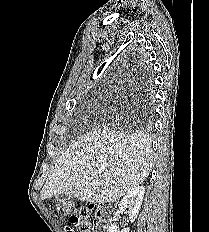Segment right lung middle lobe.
Returning <instances> with one entry per match:
<instances>
[{
	"mask_svg": "<svg viewBox=\"0 0 209 232\" xmlns=\"http://www.w3.org/2000/svg\"><path fill=\"white\" fill-rule=\"evenodd\" d=\"M143 93L144 96L141 99V108L138 112L137 121L144 127V129H150L152 126L154 95L149 84L145 85Z\"/></svg>",
	"mask_w": 209,
	"mask_h": 232,
	"instance_id": "obj_1",
	"label": "right lung middle lobe"
}]
</instances>
